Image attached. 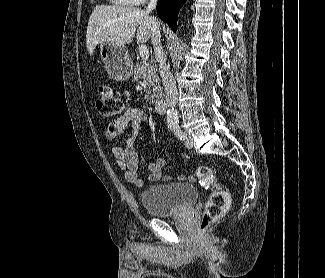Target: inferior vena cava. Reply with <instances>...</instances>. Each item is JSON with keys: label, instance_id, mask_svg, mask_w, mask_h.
<instances>
[{"label": "inferior vena cava", "instance_id": "obj_1", "mask_svg": "<svg viewBox=\"0 0 325 278\" xmlns=\"http://www.w3.org/2000/svg\"><path fill=\"white\" fill-rule=\"evenodd\" d=\"M157 0H150L146 12L149 13L156 7ZM151 41L154 47L155 58L159 63V73L165 90V97L168 107L174 108L177 103V87L175 79L166 65V55L161 45L160 25L156 18H153Z\"/></svg>", "mask_w": 325, "mask_h": 278}]
</instances>
